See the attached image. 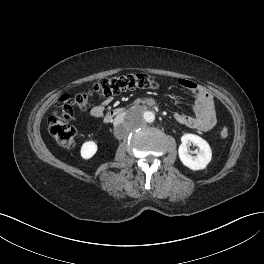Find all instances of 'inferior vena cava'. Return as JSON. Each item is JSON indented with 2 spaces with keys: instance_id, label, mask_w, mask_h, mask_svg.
<instances>
[{
  "instance_id": "602c4592",
  "label": "inferior vena cava",
  "mask_w": 264,
  "mask_h": 264,
  "mask_svg": "<svg viewBox=\"0 0 264 264\" xmlns=\"http://www.w3.org/2000/svg\"><path fill=\"white\" fill-rule=\"evenodd\" d=\"M123 121H124V117H122V116H117V117H115V119H114V124H115V126H116V125H118V124H122Z\"/></svg>"
}]
</instances>
